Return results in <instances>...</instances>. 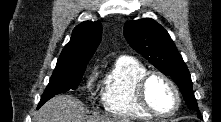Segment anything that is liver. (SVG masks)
Here are the masks:
<instances>
[{"label":"liver","mask_w":221,"mask_h":122,"mask_svg":"<svg viewBox=\"0 0 221 122\" xmlns=\"http://www.w3.org/2000/svg\"><path fill=\"white\" fill-rule=\"evenodd\" d=\"M33 120L34 122H131L121 117L87 116L83 103L70 95H58L46 102Z\"/></svg>","instance_id":"obj_1"}]
</instances>
